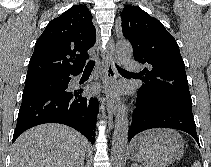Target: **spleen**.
Here are the masks:
<instances>
[{
	"label": "spleen",
	"instance_id": "3e777b00",
	"mask_svg": "<svg viewBox=\"0 0 211 167\" xmlns=\"http://www.w3.org/2000/svg\"><path fill=\"white\" fill-rule=\"evenodd\" d=\"M192 167H201V163L199 161H195Z\"/></svg>",
	"mask_w": 211,
	"mask_h": 167
}]
</instances>
